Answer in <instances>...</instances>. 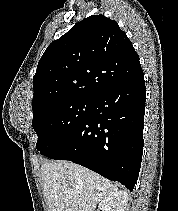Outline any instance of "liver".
I'll return each instance as SVG.
<instances>
[{
	"label": "liver",
	"mask_w": 178,
	"mask_h": 211,
	"mask_svg": "<svg viewBox=\"0 0 178 211\" xmlns=\"http://www.w3.org/2000/svg\"><path fill=\"white\" fill-rule=\"evenodd\" d=\"M49 211H94L118 188L99 174L69 161H49L41 166Z\"/></svg>",
	"instance_id": "6515ba94"
}]
</instances>
